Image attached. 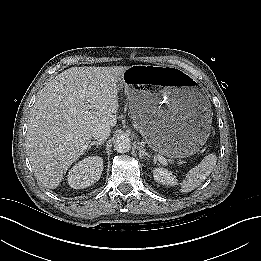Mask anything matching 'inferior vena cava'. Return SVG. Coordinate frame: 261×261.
<instances>
[{
	"label": "inferior vena cava",
	"instance_id": "602c4592",
	"mask_svg": "<svg viewBox=\"0 0 261 261\" xmlns=\"http://www.w3.org/2000/svg\"><path fill=\"white\" fill-rule=\"evenodd\" d=\"M110 127L106 125H100L96 128H94L92 135L94 139L98 141H104L110 136Z\"/></svg>",
	"mask_w": 261,
	"mask_h": 261
}]
</instances>
